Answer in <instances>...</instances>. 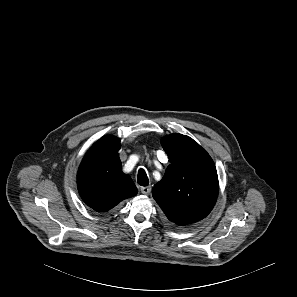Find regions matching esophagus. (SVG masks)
Returning <instances> with one entry per match:
<instances>
[{
	"label": "esophagus",
	"mask_w": 297,
	"mask_h": 297,
	"mask_svg": "<svg viewBox=\"0 0 297 297\" xmlns=\"http://www.w3.org/2000/svg\"><path fill=\"white\" fill-rule=\"evenodd\" d=\"M141 192L145 195H148L151 191V186H144L140 188Z\"/></svg>",
	"instance_id": "1"
}]
</instances>
